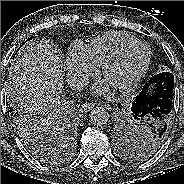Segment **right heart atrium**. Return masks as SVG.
I'll return each instance as SVG.
<instances>
[{
  "mask_svg": "<svg viewBox=\"0 0 184 184\" xmlns=\"http://www.w3.org/2000/svg\"><path fill=\"white\" fill-rule=\"evenodd\" d=\"M69 79L77 85L84 84L98 73V65L91 59L87 48L80 42L73 43L65 58Z\"/></svg>",
  "mask_w": 184,
  "mask_h": 184,
  "instance_id": "right-heart-atrium-1",
  "label": "right heart atrium"
}]
</instances>
